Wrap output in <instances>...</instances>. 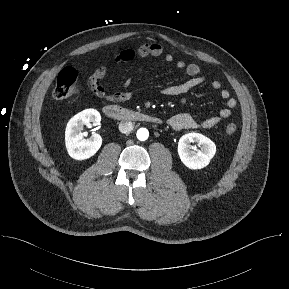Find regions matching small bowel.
<instances>
[{"label": "small bowel", "mask_w": 289, "mask_h": 289, "mask_svg": "<svg viewBox=\"0 0 289 289\" xmlns=\"http://www.w3.org/2000/svg\"><path fill=\"white\" fill-rule=\"evenodd\" d=\"M164 49L157 42H148L141 44L137 49H124L118 52L113 60L116 63L130 62L136 57L146 58L149 56H162ZM164 60L168 63L173 62L171 54H165ZM176 67L184 70L188 79L180 84L170 85L162 90V94L167 97H176L190 92L205 82V76L201 68L194 63L186 64L184 61H177ZM108 68L105 65L98 67L88 78L87 84L90 90L99 98L109 102H124L130 99L131 94L128 91L108 93L100 84V81L106 76ZM212 89L219 91V96L226 101V107L222 108L217 115L204 120H198L190 114L180 113L169 118L168 124L175 130L185 129H207L218 125L223 119H227L232 114V109L237 105V100L230 95V92L221 88L218 80L210 82Z\"/></svg>", "instance_id": "obj_1"}]
</instances>
